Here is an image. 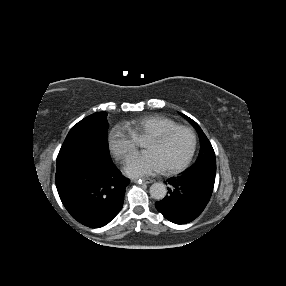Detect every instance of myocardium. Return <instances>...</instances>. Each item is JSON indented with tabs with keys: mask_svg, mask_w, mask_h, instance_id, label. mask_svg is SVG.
I'll return each mask as SVG.
<instances>
[{
	"mask_svg": "<svg viewBox=\"0 0 286 286\" xmlns=\"http://www.w3.org/2000/svg\"><path fill=\"white\" fill-rule=\"evenodd\" d=\"M179 131L190 132L192 135V138H193V144H192V147H191L189 154L187 155V157L182 162H180L179 164L170 166V167L163 168V171L166 173L179 172V171L183 170L184 168H186L188 166V164L191 162L192 158L195 155L196 148H197V134H196L195 130L191 127H188V126H178L175 128L160 131V132L155 133V134H153L147 138V140L160 142V141H163V140L169 138L170 136L174 135L175 133H177Z\"/></svg>",
	"mask_w": 286,
	"mask_h": 286,
	"instance_id": "myocardium-1",
	"label": "myocardium"
}]
</instances>
